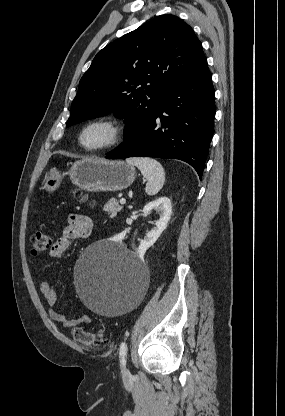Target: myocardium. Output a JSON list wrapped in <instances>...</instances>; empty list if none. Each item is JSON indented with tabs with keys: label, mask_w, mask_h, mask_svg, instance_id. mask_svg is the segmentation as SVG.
<instances>
[{
	"label": "myocardium",
	"mask_w": 285,
	"mask_h": 416,
	"mask_svg": "<svg viewBox=\"0 0 285 416\" xmlns=\"http://www.w3.org/2000/svg\"><path fill=\"white\" fill-rule=\"evenodd\" d=\"M95 126H102L106 128L109 134V138L108 141L102 146L96 148H88L83 144V137L87 130ZM122 138L123 131L120 124H118L113 119L100 117L90 120L81 128L78 135V145L87 154H101L117 147L121 143Z\"/></svg>",
	"instance_id": "1"
}]
</instances>
